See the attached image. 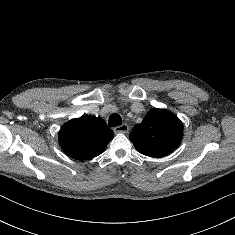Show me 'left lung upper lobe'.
<instances>
[{
    "label": "left lung upper lobe",
    "instance_id": "obj_1",
    "mask_svg": "<svg viewBox=\"0 0 235 235\" xmlns=\"http://www.w3.org/2000/svg\"><path fill=\"white\" fill-rule=\"evenodd\" d=\"M183 136V124L172 112L151 109L129 135L137 151L150 157H163L176 149Z\"/></svg>",
    "mask_w": 235,
    "mask_h": 235
}]
</instances>
